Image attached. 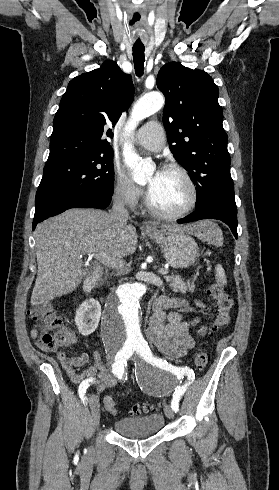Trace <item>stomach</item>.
Returning <instances> with one entry per match:
<instances>
[{
	"label": "stomach",
	"instance_id": "0dacf381",
	"mask_svg": "<svg viewBox=\"0 0 279 490\" xmlns=\"http://www.w3.org/2000/svg\"><path fill=\"white\" fill-rule=\"evenodd\" d=\"M147 234L159 244V248L171 268H177V270L189 268L199 258L198 246L187 232L162 228V230L147 232Z\"/></svg>",
	"mask_w": 279,
	"mask_h": 490
}]
</instances>
